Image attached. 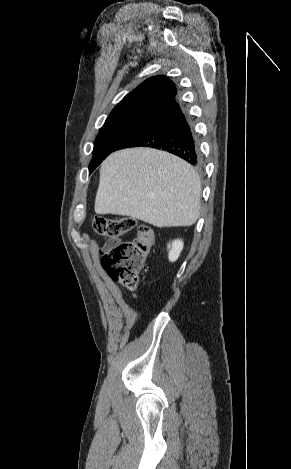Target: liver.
Segmentation results:
<instances>
[{"mask_svg":"<svg viewBox=\"0 0 291 469\" xmlns=\"http://www.w3.org/2000/svg\"><path fill=\"white\" fill-rule=\"evenodd\" d=\"M200 199V179L187 162L152 148H130L103 161L94 208L156 227L191 226Z\"/></svg>","mask_w":291,"mask_h":469,"instance_id":"1","label":"liver"}]
</instances>
